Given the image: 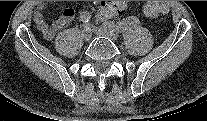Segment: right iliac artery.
Here are the masks:
<instances>
[{
	"mask_svg": "<svg viewBox=\"0 0 207 121\" xmlns=\"http://www.w3.org/2000/svg\"><path fill=\"white\" fill-rule=\"evenodd\" d=\"M91 15L88 12H82L80 16V20L85 24V28H89Z\"/></svg>",
	"mask_w": 207,
	"mask_h": 121,
	"instance_id": "obj_1",
	"label": "right iliac artery"
}]
</instances>
